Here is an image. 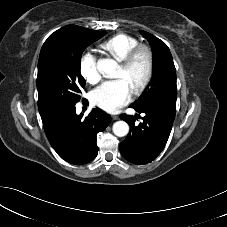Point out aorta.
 <instances>
[{"label":"aorta","mask_w":227,"mask_h":227,"mask_svg":"<svg viewBox=\"0 0 227 227\" xmlns=\"http://www.w3.org/2000/svg\"><path fill=\"white\" fill-rule=\"evenodd\" d=\"M118 65L112 59H105L100 65V72L105 78H112L116 72ZM113 133L118 137H124L129 132V126L124 121H117L112 126Z\"/></svg>","instance_id":"aorta-1"}]
</instances>
